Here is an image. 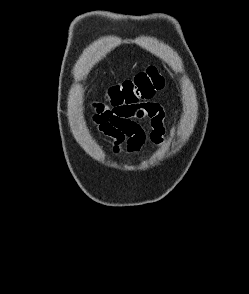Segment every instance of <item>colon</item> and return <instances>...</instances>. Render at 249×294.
Listing matches in <instances>:
<instances>
[{"label": "colon", "instance_id": "obj_1", "mask_svg": "<svg viewBox=\"0 0 249 294\" xmlns=\"http://www.w3.org/2000/svg\"><path fill=\"white\" fill-rule=\"evenodd\" d=\"M164 78L155 66L138 73L134 78L112 86L108 91L111 105L132 104L151 99L162 88Z\"/></svg>", "mask_w": 249, "mask_h": 294}]
</instances>
